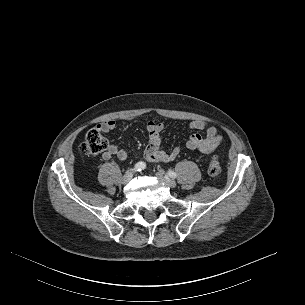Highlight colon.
<instances>
[{
    "label": "colon",
    "instance_id": "colon-1",
    "mask_svg": "<svg viewBox=\"0 0 305 305\" xmlns=\"http://www.w3.org/2000/svg\"><path fill=\"white\" fill-rule=\"evenodd\" d=\"M108 147L107 140L98 129H91L80 145V150L85 155H95L104 152ZM221 171L220 162L217 157H213L209 163L208 173L212 177H217Z\"/></svg>",
    "mask_w": 305,
    "mask_h": 305
}]
</instances>
